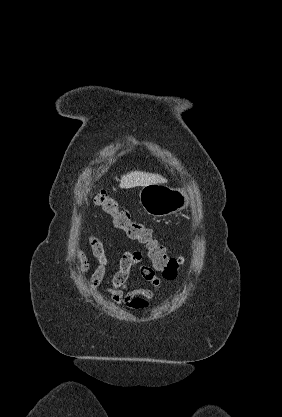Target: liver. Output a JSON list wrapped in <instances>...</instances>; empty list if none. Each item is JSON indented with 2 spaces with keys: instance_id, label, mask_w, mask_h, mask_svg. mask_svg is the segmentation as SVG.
<instances>
[{
  "instance_id": "1",
  "label": "liver",
  "mask_w": 282,
  "mask_h": 417,
  "mask_svg": "<svg viewBox=\"0 0 282 417\" xmlns=\"http://www.w3.org/2000/svg\"><path fill=\"white\" fill-rule=\"evenodd\" d=\"M158 182H167V178L161 174H152V172H140V170H132L121 176V188H132V186H146V184H158Z\"/></svg>"
}]
</instances>
